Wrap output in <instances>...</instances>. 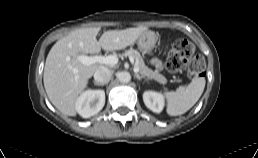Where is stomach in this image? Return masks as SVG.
<instances>
[{
    "mask_svg": "<svg viewBox=\"0 0 258 158\" xmlns=\"http://www.w3.org/2000/svg\"><path fill=\"white\" fill-rule=\"evenodd\" d=\"M157 36L153 31L146 30L137 39V45L141 52L150 54L155 47Z\"/></svg>",
    "mask_w": 258,
    "mask_h": 158,
    "instance_id": "0dacf381",
    "label": "stomach"
}]
</instances>
